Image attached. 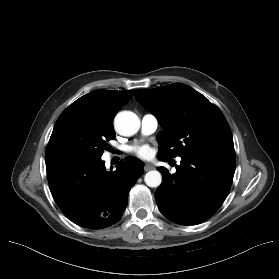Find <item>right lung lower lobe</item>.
Here are the masks:
<instances>
[{
    "label": "right lung lower lobe",
    "instance_id": "obj_1",
    "mask_svg": "<svg viewBox=\"0 0 279 279\" xmlns=\"http://www.w3.org/2000/svg\"><path fill=\"white\" fill-rule=\"evenodd\" d=\"M116 167L107 171L100 158L46 165L50 191L64 215L90 229L119 221L144 164L129 156Z\"/></svg>",
    "mask_w": 279,
    "mask_h": 279
}]
</instances>
